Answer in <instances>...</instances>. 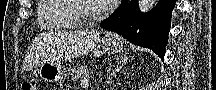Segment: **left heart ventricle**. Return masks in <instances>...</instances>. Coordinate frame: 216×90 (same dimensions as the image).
Wrapping results in <instances>:
<instances>
[{
  "mask_svg": "<svg viewBox=\"0 0 216 90\" xmlns=\"http://www.w3.org/2000/svg\"><path fill=\"white\" fill-rule=\"evenodd\" d=\"M81 6L90 13H93L100 5L98 1H82Z\"/></svg>",
  "mask_w": 216,
  "mask_h": 90,
  "instance_id": "obj_1",
  "label": "left heart ventricle"
}]
</instances>
